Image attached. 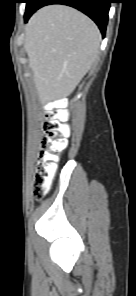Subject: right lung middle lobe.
I'll return each mask as SVG.
<instances>
[{
  "mask_svg": "<svg viewBox=\"0 0 136 296\" xmlns=\"http://www.w3.org/2000/svg\"><path fill=\"white\" fill-rule=\"evenodd\" d=\"M33 1L34 0H26L27 5H26V12H25V14L29 13V11L32 9V2Z\"/></svg>",
  "mask_w": 136,
  "mask_h": 296,
  "instance_id": "right-lung-middle-lobe-1",
  "label": "right lung middle lobe"
}]
</instances>
